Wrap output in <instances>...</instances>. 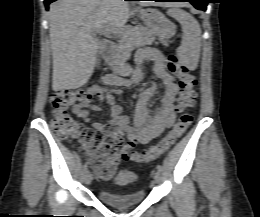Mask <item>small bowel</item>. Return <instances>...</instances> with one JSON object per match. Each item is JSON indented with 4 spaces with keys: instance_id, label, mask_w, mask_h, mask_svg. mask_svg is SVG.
I'll return each mask as SVG.
<instances>
[{
    "instance_id": "small-bowel-1",
    "label": "small bowel",
    "mask_w": 260,
    "mask_h": 217,
    "mask_svg": "<svg viewBox=\"0 0 260 217\" xmlns=\"http://www.w3.org/2000/svg\"><path fill=\"white\" fill-rule=\"evenodd\" d=\"M138 67L124 79L117 75H107L102 82L105 85L114 87L129 86L142 79L143 72L141 64L144 61L153 63L154 73L164 86V94L159 106L153 113L148 110V104L156 93V84L149 82L148 87L139 94L132 122L123 114V108L117 104L114 94L118 93L117 88L109 89L102 84H96L89 89L92 95L105 98L111 106V120L107 124L90 122L88 110H99L100 107L92 102L73 108V112L79 118L85 120L91 128L101 130L111 136L117 145H121L123 136L129 137V147L137 144H147L158 137L166 128L173 126L175 121V101L179 92L178 84L173 76L165 70L164 56L156 49L145 48L137 55ZM119 157H116L118 161Z\"/></svg>"
}]
</instances>
